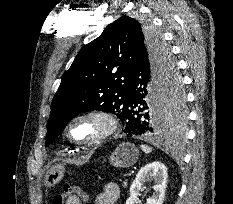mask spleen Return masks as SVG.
<instances>
[{
	"instance_id": "obj_1",
	"label": "spleen",
	"mask_w": 233,
	"mask_h": 204,
	"mask_svg": "<svg viewBox=\"0 0 233 204\" xmlns=\"http://www.w3.org/2000/svg\"><path fill=\"white\" fill-rule=\"evenodd\" d=\"M142 151L146 154H149L152 152V147L148 146V145H141L140 146Z\"/></svg>"
}]
</instances>
